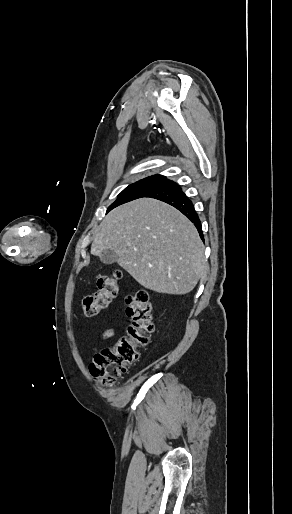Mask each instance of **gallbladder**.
<instances>
[{
    "label": "gallbladder",
    "instance_id": "obj_1",
    "mask_svg": "<svg viewBox=\"0 0 292 514\" xmlns=\"http://www.w3.org/2000/svg\"><path fill=\"white\" fill-rule=\"evenodd\" d=\"M99 258L103 264H114L116 262V254L112 248H106L99 254Z\"/></svg>",
    "mask_w": 292,
    "mask_h": 514
}]
</instances>
